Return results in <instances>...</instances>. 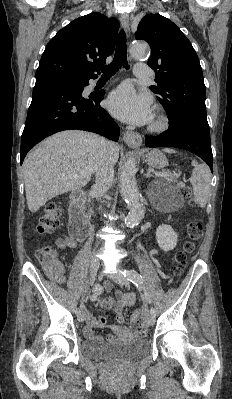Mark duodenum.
<instances>
[{
  "instance_id": "obj_1",
  "label": "duodenum",
  "mask_w": 232,
  "mask_h": 399,
  "mask_svg": "<svg viewBox=\"0 0 232 399\" xmlns=\"http://www.w3.org/2000/svg\"><path fill=\"white\" fill-rule=\"evenodd\" d=\"M91 230V224L84 213V195L81 191L73 192L69 205L68 231L77 241L85 240Z\"/></svg>"
}]
</instances>
